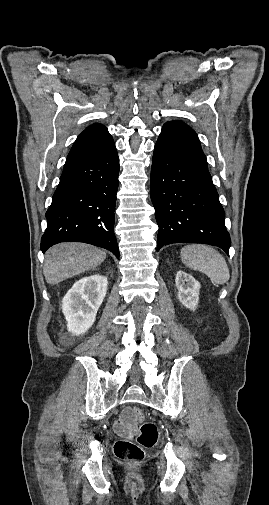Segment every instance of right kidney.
<instances>
[{"label": "right kidney", "instance_id": "obj_1", "mask_svg": "<svg viewBox=\"0 0 269 505\" xmlns=\"http://www.w3.org/2000/svg\"><path fill=\"white\" fill-rule=\"evenodd\" d=\"M107 278L95 274L78 280L62 300V311L72 335H80L94 324L107 292Z\"/></svg>", "mask_w": 269, "mask_h": 505}]
</instances>
